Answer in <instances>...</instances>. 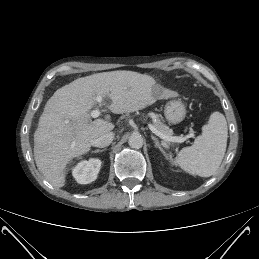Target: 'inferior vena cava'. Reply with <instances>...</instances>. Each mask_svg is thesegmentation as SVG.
Wrapping results in <instances>:
<instances>
[{"instance_id":"1","label":"inferior vena cava","mask_w":259,"mask_h":259,"mask_svg":"<svg viewBox=\"0 0 259 259\" xmlns=\"http://www.w3.org/2000/svg\"><path fill=\"white\" fill-rule=\"evenodd\" d=\"M113 138H114V133L107 132L93 139L91 144L95 147H100V148L107 147L112 143Z\"/></svg>"}]
</instances>
